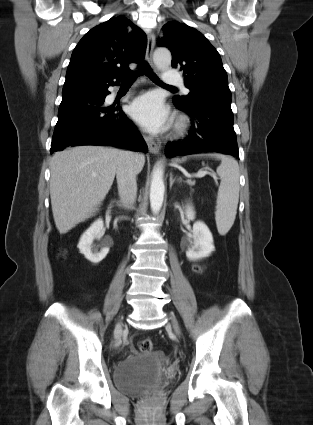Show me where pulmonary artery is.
I'll return each mask as SVG.
<instances>
[{
	"label": "pulmonary artery",
	"instance_id": "pulmonary-artery-1",
	"mask_svg": "<svg viewBox=\"0 0 313 425\" xmlns=\"http://www.w3.org/2000/svg\"><path fill=\"white\" fill-rule=\"evenodd\" d=\"M163 83L166 85H182V77L175 70L166 69L163 74ZM185 92H188L184 88Z\"/></svg>",
	"mask_w": 313,
	"mask_h": 425
}]
</instances>
